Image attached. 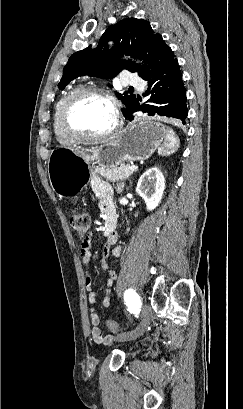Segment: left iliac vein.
<instances>
[{
  "instance_id": "left-iliac-vein-1",
  "label": "left iliac vein",
  "mask_w": 243,
  "mask_h": 409,
  "mask_svg": "<svg viewBox=\"0 0 243 409\" xmlns=\"http://www.w3.org/2000/svg\"><path fill=\"white\" fill-rule=\"evenodd\" d=\"M151 311L149 306L145 305L142 310V320L140 324L132 331L122 332L117 335L116 340L118 342L130 341L139 338L145 332L146 328L150 324Z\"/></svg>"
}]
</instances>
